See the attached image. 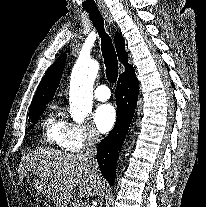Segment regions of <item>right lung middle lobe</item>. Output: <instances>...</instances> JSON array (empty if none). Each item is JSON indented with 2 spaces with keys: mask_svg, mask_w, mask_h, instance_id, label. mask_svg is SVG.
Returning a JSON list of instances; mask_svg holds the SVG:
<instances>
[{
  "mask_svg": "<svg viewBox=\"0 0 206 207\" xmlns=\"http://www.w3.org/2000/svg\"><path fill=\"white\" fill-rule=\"evenodd\" d=\"M45 109H46V104L35 107L30 110L29 116L33 124L38 120V118L44 112Z\"/></svg>",
  "mask_w": 206,
  "mask_h": 207,
  "instance_id": "right-lung-middle-lobe-1",
  "label": "right lung middle lobe"
}]
</instances>
